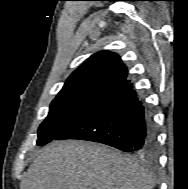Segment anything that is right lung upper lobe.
I'll use <instances>...</instances> for the list:
<instances>
[{"instance_id": "obj_1", "label": "right lung upper lobe", "mask_w": 188, "mask_h": 189, "mask_svg": "<svg viewBox=\"0 0 188 189\" xmlns=\"http://www.w3.org/2000/svg\"><path fill=\"white\" fill-rule=\"evenodd\" d=\"M127 68L121 58L109 51L90 56L67 79L59 94L83 91L111 93L127 84Z\"/></svg>"}]
</instances>
